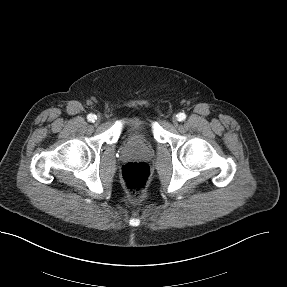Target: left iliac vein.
I'll return each instance as SVG.
<instances>
[{
  "label": "left iliac vein",
  "instance_id": "4c4485c4",
  "mask_svg": "<svg viewBox=\"0 0 287 287\" xmlns=\"http://www.w3.org/2000/svg\"><path fill=\"white\" fill-rule=\"evenodd\" d=\"M172 124H173L175 127L178 126V119H177L176 116H173V117H172Z\"/></svg>",
  "mask_w": 287,
  "mask_h": 287
}]
</instances>
